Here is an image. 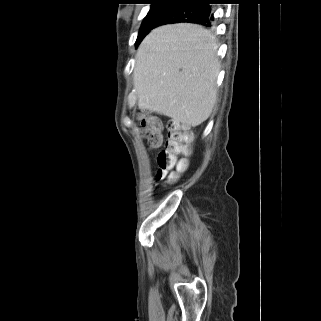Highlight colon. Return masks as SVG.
<instances>
[{
  "label": "colon",
  "instance_id": "1",
  "mask_svg": "<svg viewBox=\"0 0 321 321\" xmlns=\"http://www.w3.org/2000/svg\"><path fill=\"white\" fill-rule=\"evenodd\" d=\"M142 135L150 147H158L161 143L162 124L156 117L140 115ZM191 134L179 123L171 122L168 125V139L165 148L160 151L157 158V178L173 182L177 174L186 170L187 161L180 155L189 153Z\"/></svg>",
  "mask_w": 321,
  "mask_h": 321
}]
</instances>
